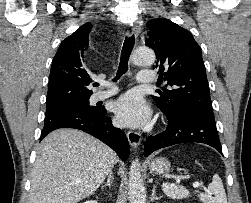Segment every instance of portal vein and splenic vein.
Here are the masks:
<instances>
[{
	"label": "portal vein and splenic vein",
	"mask_w": 251,
	"mask_h": 203,
	"mask_svg": "<svg viewBox=\"0 0 251 203\" xmlns=\"http://www.w3.org/2000/svg\"><path fill=\"white\" fill-rule=\"evenodd\" d=\"M199 186H200V183H199V182H194V183H193V187H194V188H198Z\"/></svg>",
	"instance_id": "obj_1"
}]
</instances>
